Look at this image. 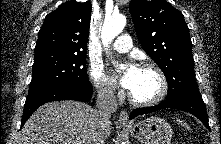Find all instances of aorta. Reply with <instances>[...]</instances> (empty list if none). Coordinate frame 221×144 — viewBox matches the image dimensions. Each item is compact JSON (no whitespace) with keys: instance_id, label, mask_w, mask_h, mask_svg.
I'll return each mask as SVG.
<instances>
[{"instance_id":"obj_1","label":"aorta","mask_w":221,"mask_h":144,"mask_svg":"<svg viewBox=\"0 0 221 144\" xmlns=\"http://www.w3.org/2000/svg\"><path fill=\"white\" fill-rule=\"evenodd\" d=\"M125 25L126 17L122 14L113 15L105 19L101 32L104 47H108L113 39L123 31ZM121 68H123L122 65Z\"/></svg>"}]
</instances>
